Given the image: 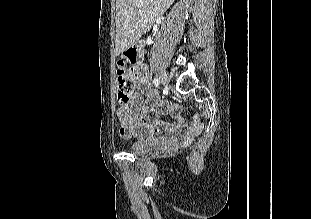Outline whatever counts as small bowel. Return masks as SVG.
<instances>
[{
  "label": "small bowel",
  "instance_id": "c3829d8e",
  "mask_svg": "<svg viewBox=\"0 0 311 219\" xmlns=\"http://www.w3.org/2000/svg\"><path fill=\"white\" fill-rule=\"evenodd\" d=\"M147 70L142 61L132 68V77L137 82V92L132 96L130 104L120 106L117 110L121 136L144 139L152 135L163 134L170 137L168 142L178 139L189 140L200 126L186 122L178 116L179 106L177 104L160 99L158 92L148 82ZM161 114H171L175 117L184 134L179 135L174 129L167 128L158 117Z\"/></svg>",
  "mask_w": 311,
  "mask_h": 219
}]
</instances>
